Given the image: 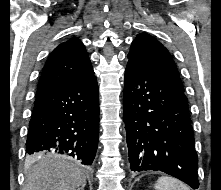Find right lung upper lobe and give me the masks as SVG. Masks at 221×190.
Instances as JSON below:
<instances>
[{
  "label": "right lung upper lobe",
  "mask_w": 221,
  "mask_h": 190,
  "mask_svg": "<svg viewBox=\"0 0 221 190\" xmlns=\"http://www.w3.org/2000/svg\"><path fill=\"white\" fill-rule=\"evenodd\" d=\"M93 68L83 43L72 38L50 54L39 79L36 96L89 77Z\"/></svg>",
  "instance_id": "1"
}]
</instances>
